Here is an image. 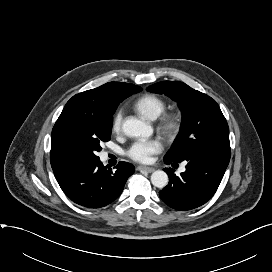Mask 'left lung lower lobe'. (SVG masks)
<instances>
[{"mask_svg":"<svg viewBox=\"0 0 272 272\" xmlns=\"http://www.w3.org/2000/svg\"><path fill=\"white\" fill-rule=\"evenodd\" d=\"M230 151H205L186 160V171L178 177L165 168L169 184L160 198L176 210H191L205 204L216 192L230 161ZM166 164L174 161L164 159Z\"/></svg>","mask_w":272,"mask_h":272,"instance_id":"left-lung-lower-lobe-1","label":"left lung lower lobe"}]
</instances>
